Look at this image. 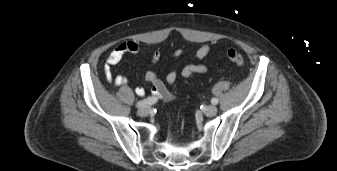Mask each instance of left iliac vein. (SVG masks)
I'll return each instance as SVG.
<instances>
[{"mask_svg": "<svg viewBox=\"0 0 337 171\" xmlns=\"http://www.w3.org/2000/svg\"><path fill=\"white\" fill-rule=\"evenodd\" d=\"M217 113V108L214 105H209L204 109V114L206 116L212 117L216 115Z\"/></svg>", "mask_w": 337, "mask_h": 171, "instance_id": "obj_1", "label": "left iliac vein"}]
</instances>
